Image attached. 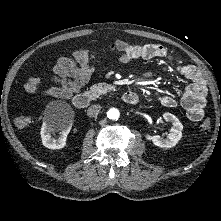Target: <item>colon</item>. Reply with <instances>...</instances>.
<instances>
[{
	"label": "colon",
	"instance_id": "1",
	"mask_svg": "<svg viewBox=\"0 0 221 221\" xmlns=\"http://www.w3.org/2000/svg\"><path fill=\"white\" fill-rule=\"evenodd\" d=\"M40 84V79L38 77H30L25 84V90L29 93H36ZM30 123L29 117H18L15 124L19 128L27 127ZM201 130L205 133L211 130V121L206 119L200 126Z\"/></svg>",
	"mask_w": 221,
	"mask_h": 221
}]
</instances>
